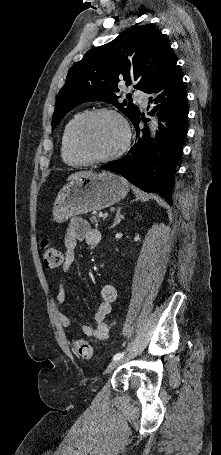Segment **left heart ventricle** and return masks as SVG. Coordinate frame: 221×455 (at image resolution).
<instances>
[{
	"instance_id": "obj_1",
	"label": "left heart ventricle",
	"mask_w": 221,
	"mask_h": 455,
	"mask_svg": "<svg viewBox=\"0 0 221 455\" xmlns=\"http://www.w3.org/2000/svg\"><path fill=\"white\" fill-rule=\"evenodd\" d=\"M124 132L119 120L111 115H99L85 123L80 143L92 157H102L116 151L123 143Z\"/></svg>"
}]
</instances>
